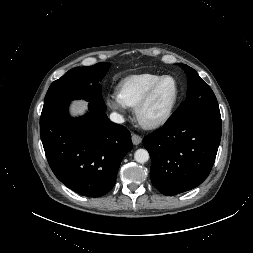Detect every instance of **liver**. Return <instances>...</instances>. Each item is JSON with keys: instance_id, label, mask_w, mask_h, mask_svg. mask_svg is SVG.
Returning <instances> with one entry per match:
<instances>
[{"instance_id": "1", "label": "liver", "mask_w": 253, "mask_h": 253, "mask_svg": "<svg viewBox=\"0 0 253 253\" xmlns=\"http://www.w3.org/2000/svg\"><path fill=\"white\" fill-rule=\"evenodd\" d=\"M72 110L74 114H83L87 110V105L86 103H78L73 106Z\"/></svg>"}]
</instances>
